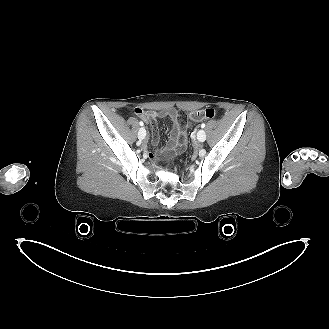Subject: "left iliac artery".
<instances>
[{
    "instance_id": "1",
    "label": "left iliac artery",
    "mask_w": 329,
    "mask_h": 329,
    "mask_svg": "<svg viewBox=\"0 0 329 329\" xmlns=\"http://www.w3.org/2000/svg\"><path fill=\"white\" fill-rule=\"evenodd\" d=\"M205 126H206L205 123L201 124V128H205Z\"/></svg>"
}]
</instances>
